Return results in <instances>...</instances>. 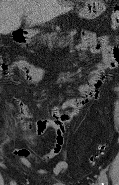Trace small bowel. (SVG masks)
<instances>
[{
	"instance_id": "small-bowel-1",
	"label": "small bowel",
	"mask_w": 119,
	"mask_h": 185,
	"mask_svg": "<svg viewBox=\"0 0 119 185\" xmlns=\"http://www.w3.org/2000/svg\"><path fill=\"white\" fill-rule=\"evenodd\" d=\"M76 49L80 51L90 50L91 53L102 55V61L94 67L88 82L79 86V97L68 98L62 104L55 106L52 109V119L38 121L30 120L27 106L16 100L17 118L26 132L37 136H41L47 131H52L55 134V144L46 154L37 155L28 149L15 151L19 161L30 169H34L32 162H48L61 155L62 159L52 170L35 169L39 175L54 177L66 172L68 162L64 139L67 128L71 120L80 113L89 101L98 98L100 86L109 77L107 73L119 65V47L110 43L109 35L98 36L91 31H83L81 41L76 45ZM15 68L20 70L25 80L31 84L39 83L47 76V71L44 69L35 67L25 59H19L2 66L4 74L11 82L17 83L13 73Z\"/></svg>"
}]
</instances>
